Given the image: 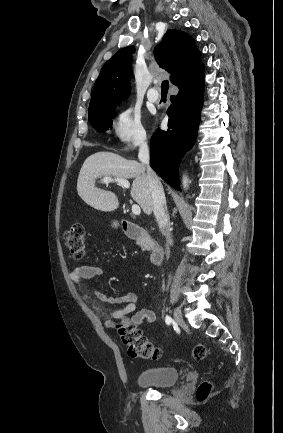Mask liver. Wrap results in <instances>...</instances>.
<instances>
[{
  "instance_id": "obj_1",
  "label": "liver",
  "mask_w": 283,
  "mask_h": 433,
  "mask_svg": "<svg viewBox=\"0 0 283 433\" xmlns=\"http://www.w3.org/2000/svg\"><path fill=\"white\" fill-rule=\"evenodd\" d=\"M99 176H115V178H134L131 196L140 204L145 214L153 210V198L150 192L149 180L145 166L138 160H127L115 152H95L84 160L78 180L77 190L84 202L97 210H115L119 200L115 192L103 190L95 186Z\"/></svg>"
}]
</instances>
